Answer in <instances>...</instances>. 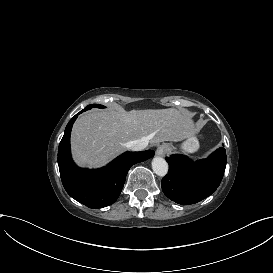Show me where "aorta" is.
Segmentation results:
<instances>
[{
	"mask_svg": "<svg viewBox=\"0 0 273 273\" xmlns=\"http://www.w3.org/2000/svg\"><path fill=\"white\" fill-rule=\"evenodd\" d=\"M152 169L156 175L163 177L168 172V163L164 158L155 157L152 160Z\"/></svg>",
	"mask_w": 273,
	"mask_h": 273,
	"instance_id": "762f6f07",
	"label": "aorta"
}]
</instances>
